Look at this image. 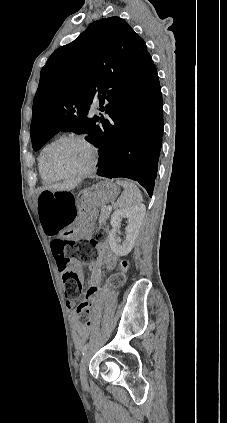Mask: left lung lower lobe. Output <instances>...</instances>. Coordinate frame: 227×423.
<instances>
[{
  "mask_svg": "<svg viewBox=\"0 0 227 423\" xmlns=\"http://www.w3.org/2000/svg\"><path fill=\"white\" fill-rule=\"evenodd\" d=\"M101 117L92 142L99 148V176L138 181L152 196L163 136V107L157 70L131 110Z\"/></svg>",
  "mask_w": 227,
  "mask_h": 423,
  "instance_id": "0a47b994",
  "label": "left lung lower lobe"
}]
</instances>
